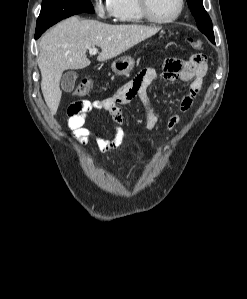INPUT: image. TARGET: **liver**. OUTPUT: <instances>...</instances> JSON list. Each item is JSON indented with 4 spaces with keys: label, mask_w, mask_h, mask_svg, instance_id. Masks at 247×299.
Returning a JSON list of instances; mask_svg holds the SVG:
<instances>
[{
    "label": "liver",
    "mask_w": 247,
    "mask_h": 299,
    "mask_svg": "<svg viewBox=\"0 0 247 299\" xmlns=\"http://www.w3.org/2000/svg\"><path fill=\"white\" fill-rule=\"evenodd\" d=\"M161 28L143 25H110L96 20L67 18L48 33L39 44L38 66L41 72V90L45 102L54 115L62 92L60 79L67 69H84L90 65L87 50L100 47L99 62L114 58Z\"/></svg>",
    "instance_id": "6515ba94"
}]
</instances>
